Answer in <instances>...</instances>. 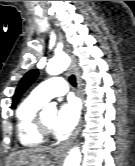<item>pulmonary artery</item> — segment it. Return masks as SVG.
Here are the masks:
<instances>
[{
    "label": "pulmonary artery",
    "instance_id": "obj_1",
    "mask_svg": "<svg viewBox=\"0 0 135 166\" xmlns=\"http://www.w3.org/2000/svg\"><path fill=\"white\" fill-rule=\"evenodd\" d=\"M68 91L66 81L60 77H52L33 89L32 95L47 102L53 97L62 96Z\"/></svg>",
    "mask_w": 135,
    "mask_h": 166
}]
</instances>
